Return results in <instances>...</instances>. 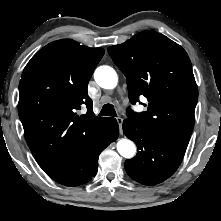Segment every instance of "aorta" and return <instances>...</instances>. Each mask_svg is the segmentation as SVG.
Masks as SVG:
<instances>
[{
    "label": "aorta",
    "instance_id": "obj_1",
    "mask_svg": "<svg viewBox=\"0 0 221 221\" xmlns=\"http://www.w3.org/2000/svg\"><path fill=\"white\" fill-rule=\"evenodd\" d=\"M94 78L97 84L104 89H114L118 83L116 71L110 66H100L95 70ZM117 151L125 158H132L136 154V146L129 139H120L117 142Z\"/></svg>",
    "mask_w": 221,
    "mask_h": 221
}]
</instances>
